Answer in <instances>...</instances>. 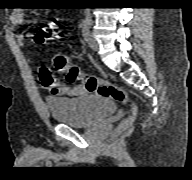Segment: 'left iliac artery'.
<instances>
[{
	"label": "left iliac artery",
	"instance_id": "left-iliac-artery-1",
	"mask_svg": "<svg viewBox=\"0 0 192 180\" xmlns=\"http://www.w3.org/2000/svg\"><path fill=\"white\" fill-rule=\"evenodd\" d=\"M90 26H91V18L87 16L82 25V36L84 37L85 40H87V37L90 33Z\"/></svg>",
	"mask_w": 192,
	"mask_h": 180
}]
</instances>
